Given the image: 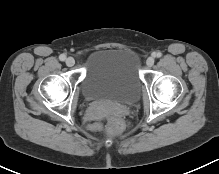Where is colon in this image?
Masks as SVG:
<instances>
[{
  "mask_svg": "<svg viewBox=\"0 0 219 174\" xmlns=\"http://www.w3.org/2000/svg\"><path fill=\"white\" fill-rule=\"evenodd\" d=\"M92 129H100L101 124L99 123H93L91 124ZM108 131L110 133H118L122 130L123 128V122L121 118L117 115H111L108 120Z\"/></svg>",
  "mask_w": 219,
  "mask_h": 174,
  "instance_id": "1",
  "label": "colon"
}]
</instances>
